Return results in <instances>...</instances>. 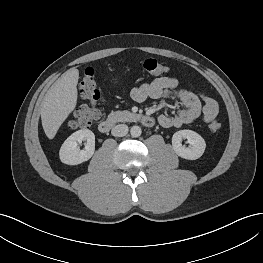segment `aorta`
<instances>
[{"mask_svg":"<svg viewBox=\"0 0 263 263\" xmlns=\"http://www.w3.org/2000/svg\"><path fill=\"white\" fill-rule=\"evenodd\" d=\"M142 133V130L139 126H132L131 129H130V134L132 137H139Z\"/></svg>","mask_w":263,"mask_h":263,"instance_id":"aorta-1","label":"aorta"}]
</instances>
